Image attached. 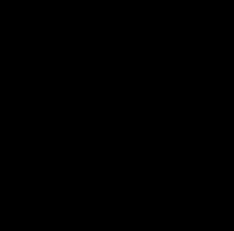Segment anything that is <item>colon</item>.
I'll return each mask as SVG.
<instances>
[{"instance_id": "colon-1", "label": "colon", "mask_w": 234, "mask_h": 231, "mask_svg": "<svg viewBox=\"0 0 234 231\" xmlns=\"http://www.w3.org/2000/svg\"><path fill=\"white\" fill-rule=\"evenodd\" d=\"M114 171L120 177H126L130 173V165L128 162H126L124 160H119L114 165Z\"/></svg>"}]
</instances>
